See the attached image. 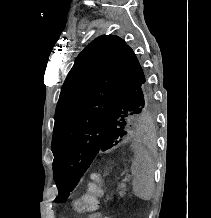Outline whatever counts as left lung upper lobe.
<instances>
[{
    "mask_svg": "<svg viewBox=\"0 0 211 218\" xmlns=\"http://www.w3.org/2000/svg\"><path fill=\"white\" fill-rule=\"evenodd\" d=\"M155 116L148 79L133 50L102 35L77 56L62 86L52 139L53 176L62 202L96 155Z\"/></svg>",
    "mask_w": 211,
    "mask_h": 218,
    "instance_id": "obj_1",
    "label": "left lung upper lobe"
}]
</instances>
